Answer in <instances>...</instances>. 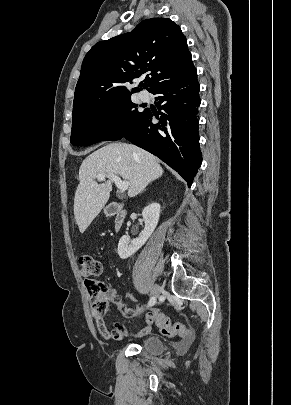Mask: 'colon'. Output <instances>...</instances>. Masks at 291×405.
I'll return each instance as SVG.
<instances>
[{
	"mask_svg": "<svg viewBox=\"0 0 291 405\" xmlns=\"http://www.w3.org/2000/svg\"><path fill=\"white\" fill-rule=\"evenodd\" d=\"M78 264L80 274L85 278V287L91 301L92 311L102 315L108 306L107 293L109 291L108 285L97 279L103 271L102 263L90 254H82L78 259ZM148 316L166 337L184 340L191 337V332L185 325L172 324L170 319L157 308H153Z\"/></svg>",
	"mask_w": 291,
	"mask_h": 405,
	"instance_id": "obj_1",
	"label": "colon"
}]
</instances>
